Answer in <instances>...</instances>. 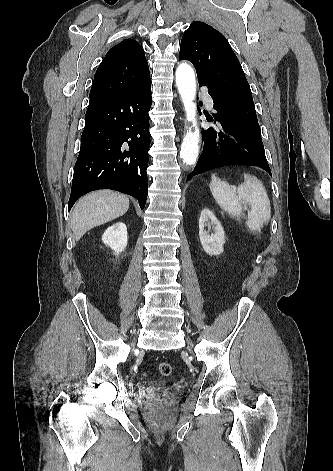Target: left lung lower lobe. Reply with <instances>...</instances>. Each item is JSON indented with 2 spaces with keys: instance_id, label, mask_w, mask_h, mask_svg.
I'll return each mask as SVG.
<instances>
[{
  "instance_id": "1",
  "label": "left lung lower lobe",
  "mask_w": 333,
  "mask_h": 471,
  "mask_svg": "<svg viewBox=\"0 0 333 471\" xmlns=\"http://www.w3.org/2000/svg\"><path fill=\"white\" fill-rule=\"evenodd\" d=\"M199 84L205 85L202 82ZM208 93L213 99V108L217 111L213 114L217 125L215 128L202 129L204 149L187 179L213 168L233 164L258 166L271 175L261 135L249 125L226 114L210 88ZM209 121H213V118Z\"/></svg>"
}]
</instances>
